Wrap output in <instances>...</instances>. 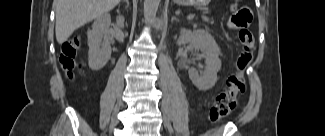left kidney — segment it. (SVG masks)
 Here are the masks:
<instances>
[{"label": "left kidney", "mask_w": 325, "mask_h": 136, "mask_svg": "<svg viewBox=\"0 0 325 136\" xmlns=\"http://www.w3.org/2000/svg\"><path fill=\"white\" fill-rule=\"evenodd\" d=\"M188 43L192 44L195 50H200L205 58L204 71L198 73L190 68L188 70L189 78L199 90H209L217 82V73L221 69L220 48L211 34L204 29L191 31L182 28L177 44L181 46Z\"/></svg>", "instance_id": "obj_1"}]
</instances>
